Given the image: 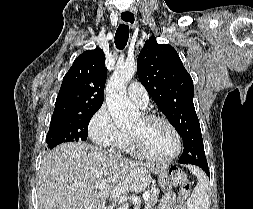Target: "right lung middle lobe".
Masks as SVG:
<instances>
[{
  "instance_id": "dd1d6c3e",
  "label": "right lung middle lobe",
  "mask_w": 253,
  "mask_h": 209,
  "mask_svg": "<svg viewBox=\"0 0 253 209\" xmlns=\"http://www.w3.org/2000/svg\"><path fill=\"white\" fill-rule=\"evenodd\" d=\"M99 108L87 112L51 119L47 133V148H54L58 144L73 141H86L88 124Z\"/></svg>"
}]
</instances>
